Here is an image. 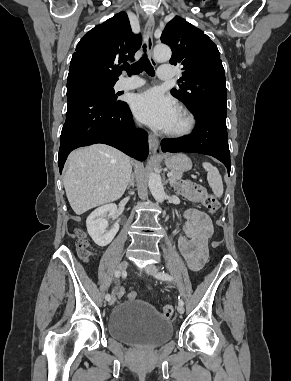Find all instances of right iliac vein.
<instances>
[{"label":"right iliac vein","instance_id":"obj_1","mask_svg":"<svg viewBox=\"0 0 291 381\" xmlns=\"http://www.w3.org/2000/svg\"><path fill=\"white\" fill-rule=\"evenodd\" d=\"M127 267H128V262H127V261H122V262L120 263V265H119V271H120V272H124V271H126ZM115 300H116V297H115V295H113V296L110 298V300H109V305H113L114 302H115Z\"/></svg>","mask_w":291,"mask_h":381}]
</instances>
